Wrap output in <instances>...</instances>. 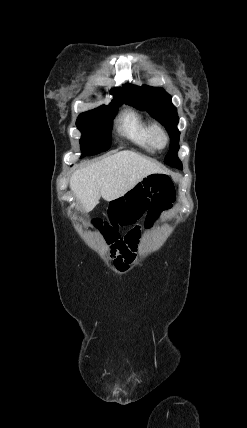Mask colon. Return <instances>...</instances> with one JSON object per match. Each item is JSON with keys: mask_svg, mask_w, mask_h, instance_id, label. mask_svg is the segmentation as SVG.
<instances>
[{"mask_svg": "<svg viewBox=\"0 0 247 428\" xmlns=\"http://www.w3.org/2000/svg\"><path fill=\"white\" fill-rule=\"evenodd\" d=\"M174 200V187L169 177L151 175L137 184L128 194H116L109 204H104V212H93L92 222L98 224L99 237H104L105 246L110 247L113 257L134 251L138 242L139 230L129 231L131 226L145 224L144 217H159L161 211L168 209ZM104 230V232H102ZM119 232H128L119 238Z\"/></svg>", "mask_w": 247, "mask_h": 428, "instance_id": "1", "label": "colon"}]
</instances>
